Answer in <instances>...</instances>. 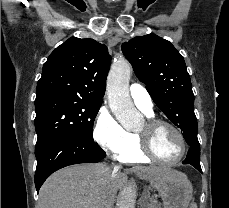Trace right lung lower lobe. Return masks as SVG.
<instances>
[{"instance_id":"98d812e1","label":"right lung lower lobe","mask_w":229,"mask_h":208,"mask_svg":"<svg viewBox=\"0 0 229 208\" xmlns=\"http://www.w3.org/2000/svg\"><path fill=\"white\" fill-rule=\"evenodd\" d=\"M37 167L35 186L37 192L44 181L55 171L78 163H96L106 153L94 141L75 134H61L35 149Z\"/></svg>"}]
</instances>
